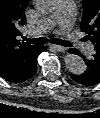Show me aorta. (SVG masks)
I'll return each mask as SVG.
<instances>
[{
	"label": "aorta",
	"instance_id": "aorta-1",
	"mask_svg": "<svg viewBox=\"0 0 100 118\" xmlns=\"http://www.w3.org/2000/svg\"><path fill=\"white\" fill-rule=\"evenodd\" d=\"M37 9L44 13L49 14L56 10L58 0H37ZM66 68L73 74H82L86 70V65L83 59L74 54H66L64 57Z\"/></svg>",
	"mask_w": 100,
	"mask_h": 118
}]
</instances>
